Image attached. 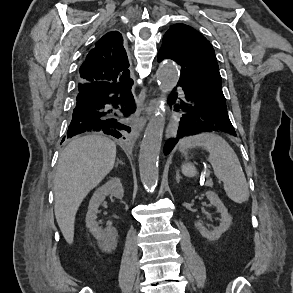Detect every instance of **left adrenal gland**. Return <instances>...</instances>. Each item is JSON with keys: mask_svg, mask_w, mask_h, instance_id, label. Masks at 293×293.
<instances>
[{"mask_svg": "<svg viewBox=\"0 0 293 293\" xmlns=\"http://www.w3.org/2000/svg\"><path fill=\"white\" fill-rule=\"evenodd\" d=\"M181 179V176L179 174V170L176 171V182L179 183Z\"/></svg>", "mask_w": 293, "mask_h": 293, "instance_id": "1", "label": "left adrenal gland"}]
</instances>
